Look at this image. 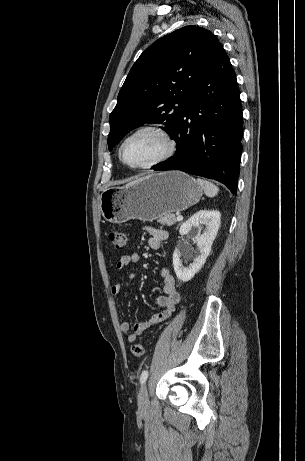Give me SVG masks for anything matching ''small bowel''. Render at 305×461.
<instances>
[{
	"instance_id": "c3829d8e",
	"label": "small bowel",
	"mask_w": 305,
	"mask_h": 461,
	"mask_svg": "<svg viewBox=\"0 0 305 461\" xmlns=\"http://www.w3.org/2000/svg\"><path fill=\"white\" fill-rule=\"evenodd\" d=\"M146 230L149 232L150 237L148 245L152 250H159L164 241L168 239V232L164 229L147 227ZM140 261V255L136 252L124 255L117 262V269L119 271L126 270L130 265L137 264ZM159 275L162 279V291L163 294L156 298V303L162 307V310L151 315L147 320L139 322L131 328L127 321H124L120 325L121 332L126 336L129 342H134L138 336L152 328L153 326L161 323L168 319L175 310L176 305L181 300V295L177 290L175 279L168 267H162L159 271ZM129 277L132 279L135 277L134 274H130ZM123 285L121 282L115 283L111 287V294L117 298L121 295Z\"/></svg>"
}]
</instances>
